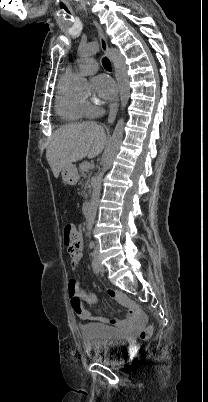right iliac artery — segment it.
Returning a JSON list of instances; mask_svg holds the SVG:
<instances>
[{
    "label": "right iliac artery",
    "instance_id": "82829eb1",
    "mask_svg": "<svg viewBox=\"0 0 208 402\" xmlns=\"http://www.w3.org/2000/svg\"><path fill=\"white\" fill-rule=\"evenodd\" d=\"M92 268H93L94 272L98 275L100 270H99L98 262L95 258H93V260H92Z\"/></svg>",
    "mask_w": 208,
    "mask_h": 402
}]
</instances>
